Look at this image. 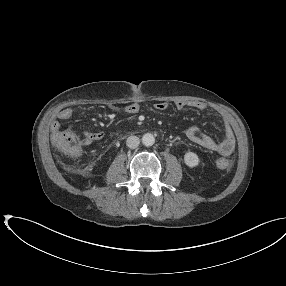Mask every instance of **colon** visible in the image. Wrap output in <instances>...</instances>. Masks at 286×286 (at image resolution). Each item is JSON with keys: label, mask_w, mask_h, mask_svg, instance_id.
<instances>
[{"label": "colon", "mask_w": 286, "mask_h": 286, "mask_svg": "<svg viewBox=\"0 0 286 286\" xmlns=\"http://www.w3.org/2000/svg\"><path fill=\"white\" fill-rule=\"evenodd\" d=\"M53 143L59 153L65 157L81 158L84 155L83 147L86 145V137L73 131H58L52 137ZM217 167L228 169L232 166V159L221 158L217 161Z\"/></svg>", "instance_id": "colon-1"}]
</instances>
